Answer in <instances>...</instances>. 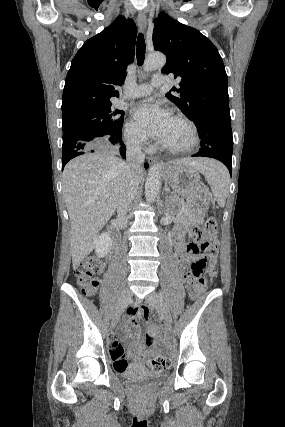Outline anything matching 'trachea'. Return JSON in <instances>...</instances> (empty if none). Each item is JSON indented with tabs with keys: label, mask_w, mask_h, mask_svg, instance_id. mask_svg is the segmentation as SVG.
<instances>
[{
	"label": "trachea",
	"mask_w": 285,
	"mask_h": 427,
	"mask_svg": "<svg viewBox=\"0 0 285 427\" xmlns=\"http://www.w3.org/2000/svg\"><path fill=\"white\" fill-rule=\"evenodd\" d=\"M145 50H146V46H145L144 36L142 34H139L137 38V49H136L138 65H142L144 62Z\"/></svg>",
	"instance_id": "trachea-1"
}]
</instances>
